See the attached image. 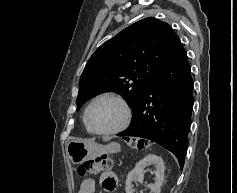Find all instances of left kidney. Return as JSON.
<instances>
[{"instance_id": "5707ae66", "label": "left kidney", "mask_w": 237, "mask_h": 193, "mask_svg": "<svg viewBox=\"0 0 237 193\" xmlns=\"http://www.w3.org/2000/svg\"><path fill=\"white\" fill-rule=\"evenodd\" d=\"M150 164H153L155 166L156 178H155V183L148 185V187L150 188L152 193H160V188L164 181L165 166H164V162L162 158L154 154H149L145 158L140 160L136 164L135 168L128 173L127 178H126V187H125L126 193H134L132 183L136 181L140 183L143 182L144 168Z\"/></svg>"}]
</instances>
